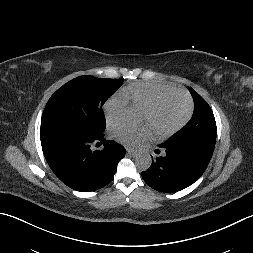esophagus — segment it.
Here are the masks:
<instances>
[{
    "label": "esophagus",
    "mask_w": 253,
    "mask_h": 253,
    "mask_svg": "<svg viewBox=\"0 0 253 253\" xmlns=\"http://www.w3.org/2000/svg\"><path fill=\"white\" fill-rule=\"evenodd\" d=\"M127 153L132 157L137 156V151L133 149H127Z\"/></svg>",
    "instance_id": "34e87169"
}]
</instances>
